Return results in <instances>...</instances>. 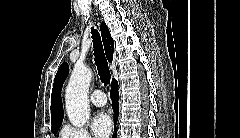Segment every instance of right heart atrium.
<instances>
[{
	"mask_svg": "<svg viewBox=\"0 0 240 138\" xmlns=\"http://www.w3.org/2000/svg\"><path fill=\"white\" fill-rule=\"evenodd\" d=\"M62 138H92L88 130L84 127L65 125L61 131Z\"/></svg>",
	"mask_w": 240,
	"mask_h": 138,
	"instance_id": "obj_1",
	"label": "right heart atrium"
}]
</instances>
